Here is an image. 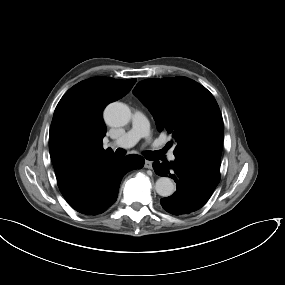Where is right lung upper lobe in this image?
<instances>
[{
    "label": "right lung upper lobe",
    "instance_id": "cb5924a9",
    "mask_svg": "<svg viewBox=\"0 0 285 285\" xmlns=\"http://www.w3.org/2000/svg\"><path fill=\"white\" fill-rule=\"evenodd\" d=\"M136 79L93 77L70 88L58 103L49 133V151L58 187L67 194L98 165L115 158L103 149L106 105L125 96Z\"/></svg>",
    "mask_w": 285,
    "mask_h": 285
}]
</instances>
